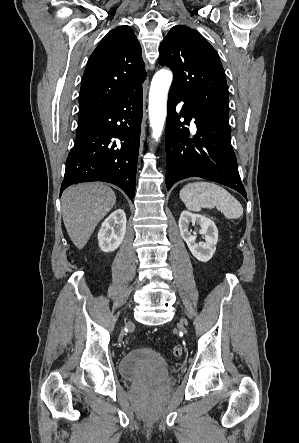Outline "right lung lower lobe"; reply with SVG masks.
I'll return each mask as SVG.
<instances>
[{"label": "right lung lower lobe", "instance_id": "obj_1", "mask_svg": "<svg viewBox=\"0 0 299 443\" xmlns=\"http://www.w3.org/2000/svg\"><path fill=\"white\" fill-rule=\"evenodd\" d=\"M142 104L140 87L82 122L66 161L61 193L72 184L104 181L133 199Z\"/></svg>", "mask_w": 299, "mask_h": 443}]
</instances>
